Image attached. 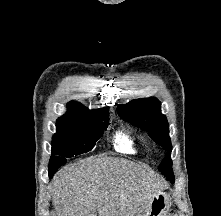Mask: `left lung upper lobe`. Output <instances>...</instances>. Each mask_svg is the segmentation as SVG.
<instances>
[{
	"mask_svg": "<svg viewBox=\"0 0 221 216\" xmlns=\"http://www.w3.org/2000/svg\"><path fill=\"white\" fill-rule=\"evenodd\" d=\"M120 117L131 124L146 130L149 136L159 145L168 150L159 165V170L165 177L174 182L172 172L171 141L169 125L165 115L161 113V103L155 97L132 100L128 104H117Z\"/></svg>",
	"mask_w": 221,
	"mask_h": 216,
	"instance_id": "1",
	"label": "left lung upper lobe"
}]
</instances>
